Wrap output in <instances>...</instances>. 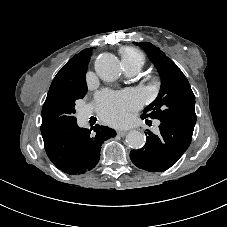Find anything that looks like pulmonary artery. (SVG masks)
I'll return each instance as SVG.
<instances>
[{
    "label": "pulmonary artery",
    "mask_w": 227,
    "mask_h": 227,
    "mask_svg": "<svg viewBox=\"0 0 227 227\" xmlns=\"http://www.w3.org/2000/svg\"><path fill=\"white\" fill-rule=\"evenodd\" d=\"M123 66H124L125 74L129 77L136 75L140 70L139 67L134 66V65H127V64L123 63ZM85 115L87 116L88 114H85Z\"/></svg>",
    "instance_id": "pulmonary-artery-1"
}]
</instances>
